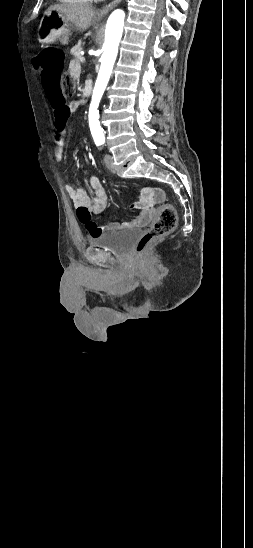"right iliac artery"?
I'll list each match as a JSON object with an SVG mask.
<instances>
[{
    "label": "right iliac artery",
    "instance_id": "obj_1",
    "mask_svg": "<svg viewBox=\"0 0 253 548\" xmlns=\"http://www.w3.org/2000/svg\"><path fill=\"white\" fill-rule=\"evenodd\" d=\"M101 144H102V142H96L97 146H100Z\"/></svg>",
    "mask_w": 253,
    "mask_h": 548
}]
</instances>
